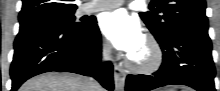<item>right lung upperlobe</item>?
<instances>
[{"instance_id":"1","label":"right lung upper lobe","mask_w":220,"mask_h":91,"mask_svg":"<svg viewBox=\"0 0 220 91\" xmlns=\"http://www.w3.org/2000/svg\"><path fill=\"white\" fill-rule=\"evenodd\" d=\"M77 7L73 1L63 0H23L19 22L42 18L50 13L70 10Z\"/></svg>"}]
</instances>
